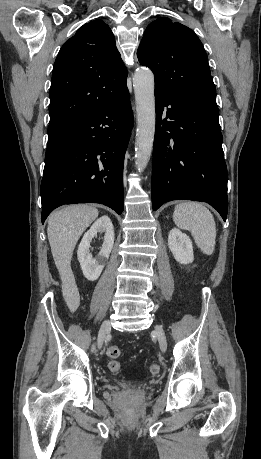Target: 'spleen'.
Wrapping results in <instances>:
<instances>
[{
	"mask_svg": "<svg viewBox=\"0 0 261 459\" xmlns=\"http://www.w3.org/2000/svg\"><path fill=\"white\" fill-rule=\"evenodd\" d=\"M173 221L191 232L195 243L206 255H212L216 243V224L212 213L199 202H182L175 206Z\"/></svg>",
	"mask_w": 261,
	"mask_h": 459,
	"instance_id": "obj_1",
	"label": "spleen"
}]
</instances>
